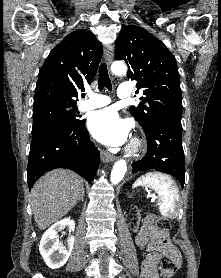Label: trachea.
<instances>
[{"label": "trachea", "mask_w": 221, "mask_h": 278, "mask_svg": "<svg viewBox=\"0 0 221 278\" xmlns=\"http://www.w3.org/2000/svg\"><path fill=\"white\" fill-rule=\"evenodd\" d=\"M106 87L108 90H112L111 80L108 75L107 66L105 63H102L99 68V77H98V89L101 91ZM85 96V94H83Z\"/></svg>", "instance_id": "trachea-1"}]
</instances>
